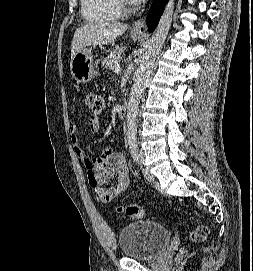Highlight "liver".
I'll return each mask as SVG.
<instances>
[{
  "instance_id": "6515ba94",
  "label": "liver",
  "mask_w": 253,
  "mask_h": 271,
  "mask_svg": "<svg viewBox=\"0 0 253 271\" xmlns=\"http://www.w3.org/2000/svg\"><path fill=\"white\" fill-rule=\"evenodd\" d=\"M128 29L124 23H89L76 29L71 45V59L87 46L113 43Z\"/></svg>"
}]
</instances>
